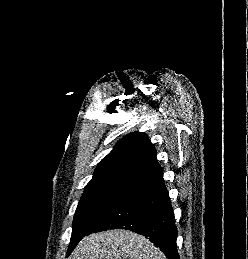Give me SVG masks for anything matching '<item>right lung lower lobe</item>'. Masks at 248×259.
Returning a JSON list of instances; mask_svg holds the SVG:
<instances>
[{
    "label": "right lung lower lobe",
    "mask_w": 248,
    "mask_h": 259,
    "mask_svg": "<svg viewBox=\"0 0 248 259\" xmlns=\"http://www.w3.org/2000/svg\"><path fill=\"white\" fill-rule=\"evenodd\" d=\"M109 229L130 230L148 237L168 259H179L177 228L162 170L133 184L87 235Z\"/></svg>",
    "instance_id": "1"
}]
</instances>
